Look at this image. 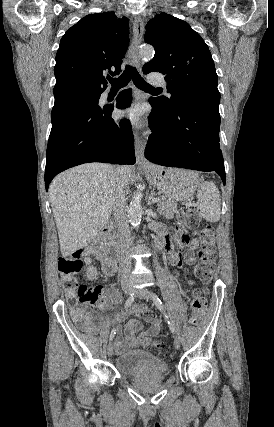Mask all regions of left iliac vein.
I'll use <instances>...</instances> for the list:
<instances>
[{
  "mask_svg": "<svg viewBox=\"0 0 274 427\" xmlns=\"http://www.w3.org/2000/svg\"><path fill=\"white\" fill-rule=\"evenodd\" d=\"M136 296L140 299H145V300H150L151 297L149 295V291L145 288H138V289H134ZM174 347L176 349L180 348V338L178 336L174 337Z\"/></svg>",
  "mask_w": 274,
  "mask_h": 427,
  "instance_id": "obj_1",
  "label": "left iliac vein"
}]
</instances>
